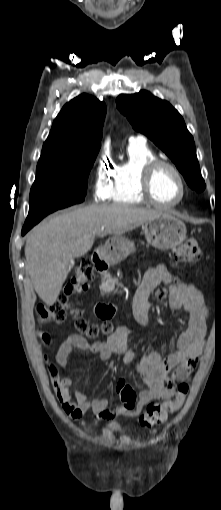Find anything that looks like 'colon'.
I'll return each mask as SVG.
<instances>
[{
  "mask_svg": "<svg viewBox=\"0 0 221 510\" xmlns=\"http://www.w3.org/2000/svg\"><path fill=\"white\" fill-rule=\"evenodd\" d=\"M201 251L198 243L194 239H189L179 246L175 251V258L182 263H194L200 259ZM94 277L93 263L84 259L80 262L77 271L72 278L71 282L66 286L65 292L54 302L46 305H41L37 308V319L41 323L48 322H63L69 312L73 313L76 321V329L89 339H95L102 335L111 334L114 330V325L111 321H106L101 325L90 323L83 317L81 309H73V298L84 292L88 283ZM166 292L162 288L155 291L157 299H163ZM40 338L44 345L50 344V337L46 333H41ZM51 380H55V376L51 373ZM130 386H128V389ZM189 391V383L187 378L182 380L178 385L177 394L172 399H167L163 402H150L146 411L140 416V425L144 428H151L156 425L163 424L169 414L176 412L183 405L185 398Z\"/></svg>",
  "mask_w": 221,
  "mask_h": 510,
  "instance_id": "obj_1",
  "label": "colon"
}]
</instances>
